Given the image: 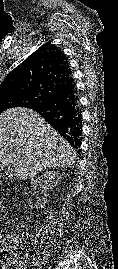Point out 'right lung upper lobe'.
I'll return each mask as SVG.
<instances>
[{"label":"right lung upper lobe","instance_id":"obj_1","mask_svg":"<svg viewBox=\"0 0 118 269\" xmlns=\"http://www.w3.org/2000/svg\"><path fill=\"white\" fill-rule=\"evenodd\" d=\"M73 83L64 53L55 45L45 43L7 75L0 85V98L30 96L40 104Z\"/></svg>","mask_w":118,"mask_h":269}]
</instances>
